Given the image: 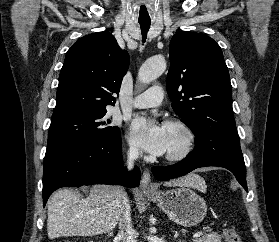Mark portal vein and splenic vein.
<instances>
[{
  "label": "portal vein and splenic vein",
  "mask_w": 279,
  "mask_h": 242,
  "mask_svg": "<svg viewBox=\"0 0 279 242\" xmlns=\"http://www.w3.org/2000/svg\"><path fill=\"white\" fill-rule=\"evenodd\" d=\"M202 234H203L202 231H198V232H196V233L193 235V238H198V237H200Z\"/></svg>",
  "instance_id": "18ae733b"
}]
</instances>
